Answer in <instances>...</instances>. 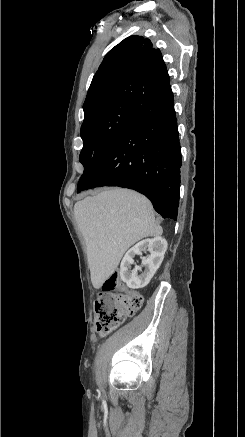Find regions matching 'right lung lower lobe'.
Segmentation results:
<instances>
[{"mask_svg":"<svg viewBox=\"0 0 245 437\" xmlns=\"http://www.w3.org/2000/svg\"><path fill=\"white\" fill-rule=\"evenodd\" d=\"M181 162L172 93L139 106L77 192L100 186L130 188L144 194L163 218L177 220Z\"/></svg>","mask_w":245,"mask_h":437,"instance_id":"1","label":"right lung lower lobe"}]
</instances>
